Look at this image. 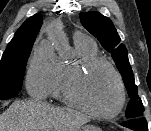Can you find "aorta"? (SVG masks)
<instances>
[{"mask_svg":"<svg viewBox=\"0 0 151 131\" xmlns=\"http://www.w3.org/2000/svg\"><path fill=\"white\" fill-rule=\"evenodd\" d=\"M51 38L58 44L59 54L63 57L68 56L69 47L58 24L54 25V27L52 28Z\"/></svg>","mask_w":151,"mask_h":131,"instance_id":"1","label":"aorta"}]
</instances>
